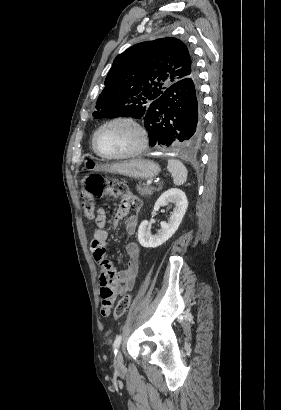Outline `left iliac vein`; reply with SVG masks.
Masks as SVG:
<instances>
[{"mask_svg": "<svg viewBox=\"0 0 281 410\" xmlns=\"http://www.w3.org/2000/svg\"><path fill=\"white\" fill-rule=\"evenodd\" d=\"M114 367H115L116 370H122L123 367H124V364H123V356H122V354H121L120 351H118V352L115 354Z\"/></svg>", "mask_w": 281, "mask_h": 410, "instance_id": "4c4485c4", "label": "left iliac vein"}]
</instances>
